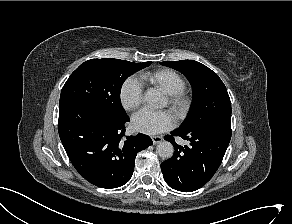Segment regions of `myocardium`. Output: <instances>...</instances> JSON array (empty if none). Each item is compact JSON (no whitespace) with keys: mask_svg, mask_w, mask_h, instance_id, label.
Listing matches in <instances>:
<instances>
[{"mask_svg":"<svg viewBox=\"0 0 292 224\" xmlns=\"http://www.w3.org/2000/svg\"><path fill=\"white\" fill-rule=\"evenodd\" d=\"M167 103L178 117H184L190 109L191 98L183 91L167 94Z\"/></svg>","mask_w":292,"mask_h":224,"instance_id":"f54148a6","label":"myocardium"}]
</instances>
